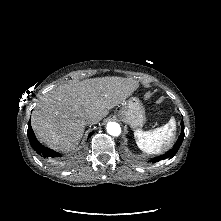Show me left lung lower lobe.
Wrapping results in <instances>:
<instances>
[{"mask_svg": "<svg viewBox=\"0 0 221 221\" xmlns=\"http://www.w3.org/2000/svg\"><path fill=\"white\" fill-rule=\"evenodd\" d=\"M181 127H182L181 134L177 142L174 144L173 148L170 149L166 154L152 159L150 162L156 163L157 161L164 160L166 158L171 159L177 153L184 139V123L183 122H181Z\"/></svg>", "mask_w": 221, "mask_h": 221, "instance_id": "obj_1", "label": "left lung lower lobe"}]
</instances>
